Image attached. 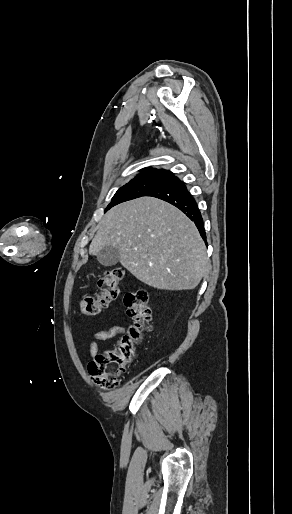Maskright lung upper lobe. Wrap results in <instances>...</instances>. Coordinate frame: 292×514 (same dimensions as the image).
<instances>
[{"mask_svg": "<svg viewBox=\"0 0 292 514\" xmlns=\"http://www.w3.org/2000/svg\"><path fill=\"white\" fill-rule=\"evenodd\" d=\"M142 173H147V172H165V173H168L170 175H172V172L171 171H168V170H158V169H152V168H144L141 170Z\"/></svg>", "mask_w": 292, "mask_h": 514, "instance_id": "1", "label": "right lung upper lobe"}]
</instances>
